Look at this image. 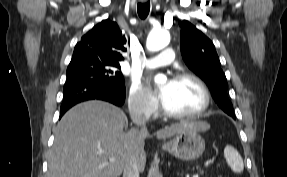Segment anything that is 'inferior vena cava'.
I'll return each instance as SVG.
<instances>
[{
  "mask_svg": "<svg viewBox=\"0 0 287 177\" xmlns=\"http://www.w3.org/2000/svg\"><path fill=\"white\" fill-rule=\"evenodd\" d=\"M130 115L133 123L140 127V134L143 137H146L148 135V130L146 127V121L142 117L141 111L138 109H133ZM123 177H139V167L135 158L130 159L125 165Z\"/></svg>",
  "mask_w": 287,
  "mask_h": 177,
  "instance_id": "inferior-vena-cava-1",
  "label": "inferior vena cava"
}]
</instances>
